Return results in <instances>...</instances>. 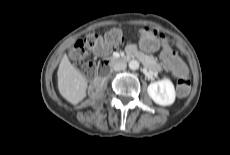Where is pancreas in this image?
<instances>
[{
  "label": "pancreas",
  "instance_id": "cf45deb5",
  "mask_svg": "<svg viewBox=\"0 0 230 155\" xmlns=\"http://www.w3.org/2000/svg\"><path fill=\"white\" fill-rule=\"evenodd\" d=\"M136 57L141 58L143 63L154 71H160L162 69L161 65L157 62V60L153 56L143 57L141 53H136Z\"/></svg>",
  "mask_w": 230,
  "mask_h": 155
}]
</instances>
